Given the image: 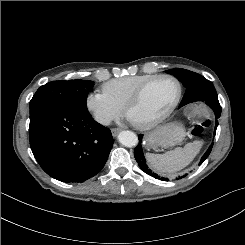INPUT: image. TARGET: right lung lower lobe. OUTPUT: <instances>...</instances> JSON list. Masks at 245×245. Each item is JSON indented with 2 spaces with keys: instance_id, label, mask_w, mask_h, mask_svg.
<instances>
[{
  "instance_id": "obj_1",
  "label": "right lung lower lobe",
  "mask_w": 245,
  "mask_h": 245,
  "mask_svg": "<svg viewBox=\"0 0 245 245\" xmlns=\"http://www.w3.org/2000/svg\"><path fill=\"white\" fill-rule=\"evenodd\" d=\"M30 146L42 169L62 182H83L104 167L114 139L90 113L44 106L30 113Z\"/></svg>"
}]
</instances>
